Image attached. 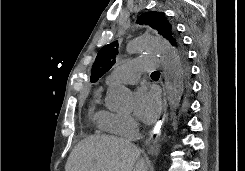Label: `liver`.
Listing matches in <instances>:
<instances>
[{
	"mask_svg": "<svg viewBox=\"0 0 245 171\" xmlns=\"http://www.w3.org/2000/svg\"><path fill=\"white\" fill-rule=\"evenodd\" d=\"M140 149L113 136H90L69 155L65 171H147Z\"/></svg>",
	"mask_w": 245,
	"mask_h": 171,
	"instance_id": "1",
	"label": "liver"
}]
</instances>
